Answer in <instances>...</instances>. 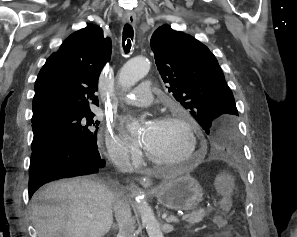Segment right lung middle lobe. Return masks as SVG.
Segmentation results:
<instances>
[{
  "instance_id": "1",
  "label": "right lung middle lobe",
  "mask_w": 297,
  "mask_h": 237,
  "mask_svg": "<svg viewBox=\"0 0 297 237\" xmlns=\"http://www.w3.org/2000/svg\"><path fill=\"white\" fill-rule=\"evenodd\" d=\"M92 112L60 111L44 115L32 121L33 142L54 134H63L87 145L97 141L98 120Z\"/></svg>"
}]
</instances>
